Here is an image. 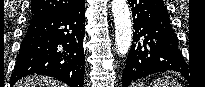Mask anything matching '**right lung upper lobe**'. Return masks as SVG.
Here are the masks:
<instances>
[{"mask_svg": "<svg viewBox=\"0 0 205 87\" xmlns=\"http://www.w3.org/2000/svg\"><path fill=\"white\" fill-rule=\"evenodd\" d=\"M84 0H31L30 19L42 18L67 10Z\"/></svg>", "mask_w": 205, "mask_h": 87, "instance_id": "right-lung-upper-lobe-1", "label": "right lung upper lobe"}]
</instances>
